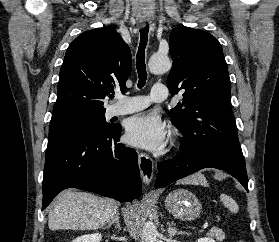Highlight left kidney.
Returning a JSON list of instances; mask_svg holds the SVG:
<instances>
[{
  "mask_svg": "<svg viewBox=\"0 0 279 242\" xmlns=\"http://www.w3.org/2000/svg\"><path fill=\"white\" fill-rule=\"evenodd\" d=\"M196 242H216V241L212 238L204 237V238L198 239Z\"/></svg>",
  "mask_w": 279,
  "mask_h": 242,
  "instance_id": "obj_1",
  "label": "left kidney"
}]
</instances>
